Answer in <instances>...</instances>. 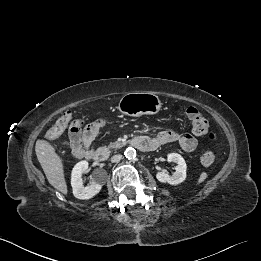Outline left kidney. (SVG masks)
Segmentation results:
<instances>
[{
  "mask_svg": "<svg viewBox=\"0 0 261 261\" xmlns=\"http://www.w3.org/2000/svg\"><path fill=\"white\" fill-rule=\"evenodd\" d=\"M168 162H174L177 164L176 172L173 176L168 175L166 172L160 171L156 173V178L162 183H169L171 185H177L186 179L187 165L184 158L178 153H170L167 155Z\"/></svg>",
  "mask_w": 261,
  "mask_h": 261,
  "instance_id": "1",
  "label": "left kidney"
}]
</instances>
